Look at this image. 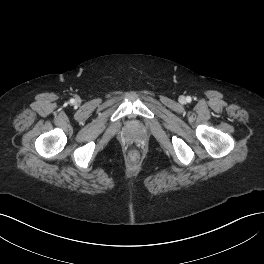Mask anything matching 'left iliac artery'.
<instances>
[{
	"instance_id": "44dca946",
	"label": "left iliac artery",
	"mask_w": 264,
	"mask_h": 264,
	"mask_svg": "<svg viewBox=\"0 0 264 264\" xmlns=\"http://www.w3.org/2000/svg\"><path fill=\"white\" fill-rule=\"evenodd\" d=\"M187 101H188V102H190V101H191V98H190V97H188V98H187Z\"/></svg>"
}]
</instances>
